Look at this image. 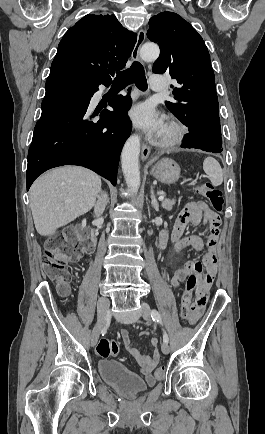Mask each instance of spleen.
<instances>
[{
	"label": "spleen",
	"instance_id": "obj_1",
	"mask_svg": "<svg viewBox=\"0 0 265 434\" xmlns=\"http://www.w3.org/2000/svg\"><path fill=\"white\" fill-rule=\"evenodd\" d=\"M203 170L210 178L213 186H220L223 182V172L222 168L214 158H206L203 162Z\"/></svg>",
	"mask_w": 265,
	"mask_h": 434
}]
</instances>
